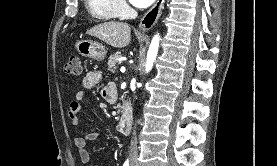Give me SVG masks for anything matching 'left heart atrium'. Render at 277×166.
<instances>
[{
    "instance_id": "left-heart-atrium-1",
    "label": "left heart atrium",
    "mask_w": 277,
    "mask_h": 166,
    "mask_svg": "<svg viewBox=\"0 0 277 166\" xmlns=\"http://www.w3.org/2000/svg\"><path fill=\"white\" fill-rule=\"evenodd\" d=\"M131 4L138 8H146L150 6L155 0H129Z\"/></svg>"
}]
</instances>
